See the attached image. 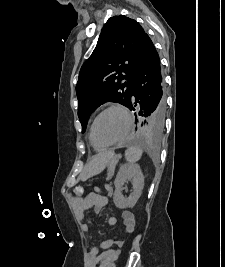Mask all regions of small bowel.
<instances>
[{
	"mask_svg": "<svg viewBox=\"0 0 225 267\" xmlns=\"http://www.w3.org/2000/svg\"><path fill=\"white\" fill-rule=\"evenodd\" d=\"M113 188L110 185L105 186V192H101L99 189H95L90 192L85 199L73 200L72 204L77 215L84 219L85 212L89 209H93L95 212L101 211L107 203V197L112 196ZM122 227L126 233H132L135 227V219L133 214L128 210L121 211ZM109 223L111 225H116L119 220L116 216L109 218ZM83 229L85 232L90 231L88 224H83ZM115 244L116 247L112 248ZM123 245V241H114L113 239H108L103 241L99 246L92 247L87 255V265L88 267H106L108 261L116 260L120 254V248Z\"/></svg>",
	"mask_w": 225,
	"mask_h": 267,
	"instance_id": "1",
	"label": "small bowel"
}]
</instances>
